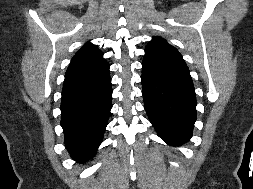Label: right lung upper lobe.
<instances>
[{"instance_id":"right-lung-upper-lobe-1","label":"right lung upper lobe","mask_w":253,"mask_h":189,"mask_svg":"<svg viewBox=\"0 0 253 189\" xmlns=\"http://www.w3.org/2000/svg\"><path fill=\"white\" fill-rule=\"evenodd\" d=\"M109 73V65L103 53L91 43L85 44L72 58L66 71L65 80L86 82Z\"/></svg>"}]
</instances>
